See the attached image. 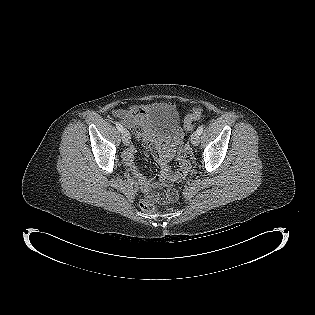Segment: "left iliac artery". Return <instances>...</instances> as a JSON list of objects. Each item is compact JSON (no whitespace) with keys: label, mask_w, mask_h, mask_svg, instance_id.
<instances>
[{"label":"left iliac artery","mask_w":315,"mask_h":315,"mask_svg":"<svg viewBox=\"0 0 315 315\" xmlns=\"http://www.w3.org/2000/svg\"><path fill=\"white\" fill-rule=\"evenodd\" d=\"M197 134L198 135H201L202 134V132H203V127L202 126H200L198 129H197Z\"/></svg>","instance_id":"44dca946"}]
</instances>
